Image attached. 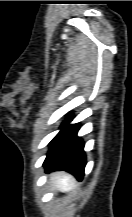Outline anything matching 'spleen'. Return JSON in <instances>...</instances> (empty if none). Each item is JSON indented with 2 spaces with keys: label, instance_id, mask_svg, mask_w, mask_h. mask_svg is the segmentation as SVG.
<instances>
[{
  "label": "spleen",
  "instance_id": "obj_1",
  "mask_svg": "<svg viewBox=\"0 0 132 217\" xmlns=\"http://www.w3.org/2000/svg\"><path fill=\"white\" fill-rule=\"evenodd\" d=\"M52 180L55 184L54 188L61 192H70L76 186L75 179L72 176L65 173L52 174Z\"/></svg>",
  "mask_w": 132,
  "mask_h": 217
}]
</instances>
